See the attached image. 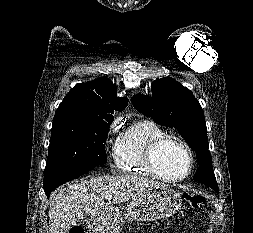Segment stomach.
<instances>
[{
    "label": "stomach",
    "instance_id": "stomach-1",
    "mask_svg": "<svg viewBox=\"0 0 253 233\" xmlns=\"http://www.w3.org/2000/svg\"><path fill=\"white\" fill-rule=\"evenodd\" d=\"M182 199L179 193L167 186H159L148 190L134 198L126 207L125 217L129 220H157L174 215L181 207ZM123 222L118 210H108L91 217L90 231L92 233H119Z\"/></svg>",
    "mask_w": 253,
    "mask_h": 233
}]
</instances>
